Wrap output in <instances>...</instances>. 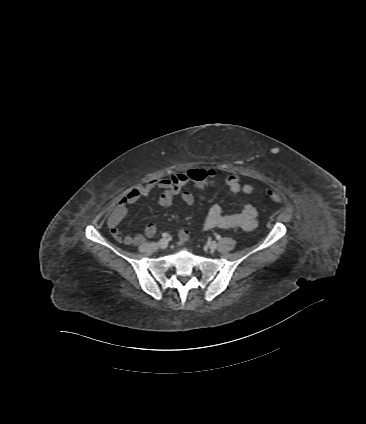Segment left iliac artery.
Wrapping results in <instances>:
<instances>
[{"label": "left iliac artery", "instance_id": "1", "mask_svg": "<svg viewBox=\"0 0 366 424\" xmlns=\"http://www.w3.org/2000/svg\"><path fill=\"white\" fill-rule=\"evenodd\" d=\"M216 239L217 240H220L221 239V236L220 235H216Z\"/></svg>", "mask_w": 366, "mask_h": 424}]
</instances>
